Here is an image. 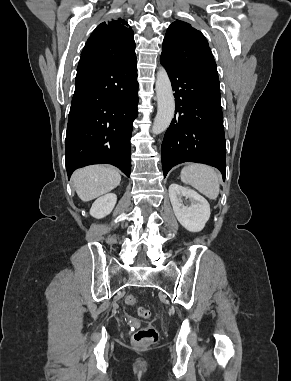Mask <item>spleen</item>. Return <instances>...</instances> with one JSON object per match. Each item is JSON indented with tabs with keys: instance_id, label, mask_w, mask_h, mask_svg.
<instances>
[{
	"instance_id": "spleen-1",
	"label": "spleen",
	"mask_w": 291,
	"mask_h": 381,
	"mask_svg": "<svg viewBox=\"0 0 291 381\" xmlns=\"http://www.w3.org/2000/svg\"><path fill=\"white\" fill-rule=\"evenodd\" d=\"M181 181L191 185L209 199L219 195V178L216 171L204 164L193 163L181 170Z\"/></svg>"
}]
</instances>
